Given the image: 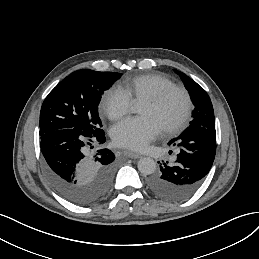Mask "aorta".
<instances>
[{
	"label": "aorta",
	"instance_id": "aorta-1",
	"mask_svg": "<svg viewBox=\"0 0 259 259\" xmlns=\"http://www.w3.org/2000/svg\"><path fill=\"white\" fill-rule=\"evenodd\" d=\"M136 112V110H133ZM138 170L143 175H150L156 171V162L150 157H143L138 161Z\"/></svg>",
	"mask_w": 259,
	"mask_h": 259
}]
</instances>
